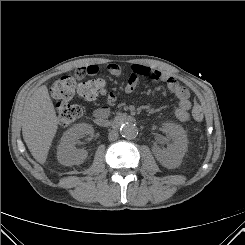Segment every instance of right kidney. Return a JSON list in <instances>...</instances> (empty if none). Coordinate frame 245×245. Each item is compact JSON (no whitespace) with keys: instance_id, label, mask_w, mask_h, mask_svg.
Here are the masks:
<instances>
[{"instance_id":"1","label":"right kidney","mask_w":245,"mask_h":245,"mask_svg":"<svg viewBox=\"0 0 245 245\" xmlns=\"http://www.w3.org/2000/svg\"><path fill=\"white\" fill-rule=\"evenodd\" d=\"M94 134V129L90 124L80 123L68 129L62 136L57 149V159L65 166L81 164L88 153L83 149H76L78 139Z\"/></svg>"}]
</instances>
